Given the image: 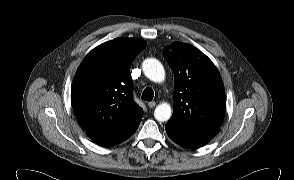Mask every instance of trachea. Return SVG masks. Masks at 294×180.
<instances>
[{"label": "trachea", "mask_w": 294, "mask_h": 180, "mask_svg": "<svg viewBox=\"0 0 294 180\" xmlns=\"http://www.w3.org/2000/svg\"><path fill=\"white\" fill-rule=\"evenodd\" d=\"M154 97V91L151 87L145 88V90L142 93V99L145 101H152Z\"/></svg>", "instance_id": "trachea-1"}]
</instances>
